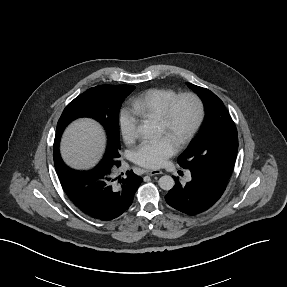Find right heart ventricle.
I'll use <instances>...</instances> for the list:
<instances>
[{"label":"right heart ventricle","mask_w":287,"mask_h":287,"mask_svg":"<svg viewBox=\"0 0 287 287\" xmlns=\"http://www.w3.org/2000/svg\"><path fill=\"white\" fill-rule=\"evenodd\" d=\"M175 95L176 92L172 89H149L132 100V111L140 118L159 119L166 105Z\"/></svg>","instance_id":"obj_1"}]
</instances>
